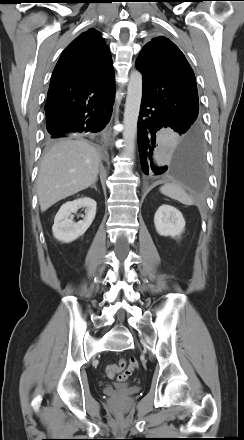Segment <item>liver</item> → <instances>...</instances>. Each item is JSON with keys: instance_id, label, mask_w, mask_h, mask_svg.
Returning <instances> with one entry per match:
<instances>
[{"instance_id": "liver-1", "label": "liver", "mask_w": 244, "mask_h": 440, "mask_svg": "<svg viewBox=\"0 0 244 440\" xmlns=\"http://www.w3.org/2000/svg\"><path fill=\"white\" fill-rule=\"evenodd\" d=\"M101 154L82 139H61L44 155L36 181L41 212L97 181Z\"/></svg>"}]
</instances>
